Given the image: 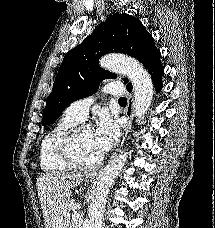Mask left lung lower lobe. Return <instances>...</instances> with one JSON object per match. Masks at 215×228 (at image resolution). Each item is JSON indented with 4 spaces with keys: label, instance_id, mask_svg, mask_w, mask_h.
Wrapping results in <instances>:
<instances>
[{
    "label": "left lung lower lobe",
    "instance_id": "obj_1",
    "mask_svg": "<svg viewBox=\"0 0 215 228\" xmlns=\"http://www.w3.org/2000/svg\"><path fill=\"white\" fill-rule=\"evenodd\" d=\"M160 52L157 51L156 54L154 55V57L152 58V60L150 61V63L147 65L146 69L149 71L152 80H153V84L155 86V89L157 92H159L162 88V76L164 73V69L161 65V61H160ZM128 91L131 92L132 91V85H130L129 87H127Z\"/></svg>",
    "mask_w": 215,
    "mask_h": 228
}]
</instances>
